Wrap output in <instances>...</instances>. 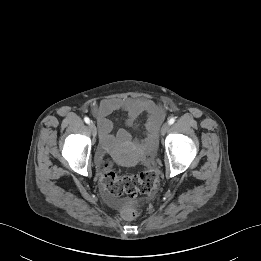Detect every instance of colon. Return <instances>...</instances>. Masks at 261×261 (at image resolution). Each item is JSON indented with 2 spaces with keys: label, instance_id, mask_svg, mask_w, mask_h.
Masks as SVG:
<instances>
[{
  "label": "colon",
  "instance_id": "obj_1",
  "mask_svg": "<svg viewBox=\"0 0 261 261\" xmlns=\"http://www.w3.org/2000/svg\"><path fill=\"white\" fill-rule=\"evenodd\" d=\"M101 182L105 190L114 196L150 193L155 190L158 175L154 161L151 157L146 158L145 170L137 175L119 176L112 167L110 161H105L102 168ZM121 217L124 220H132L137 216V210L132 201L126 202L121 208Z\"/></svg>",
  "mask_w": 261,
  "mask_h": 261
}]
</instances>
